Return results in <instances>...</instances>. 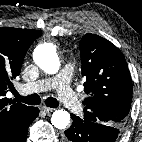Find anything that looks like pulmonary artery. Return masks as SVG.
I'll return each instance as SVG.
<instances>
[{"label":"pulmonary artery","mask_w":142,"mask_h":142,"mask_svg":"<svg viewBox=\"0 0 142 142\" xmlns=\"http://www.w3.org/2000/svg\"><path fill=\"white\" fill-rule=\"evenodd\" d=\"M72 70V66L66 65L56 77L24 84L20 89L26 93L55 89L65 107L71 113L78 114L82 110V103L70 86Z\"/></svg>","instance_id":"e3ab8cb5"}]
</instances>
